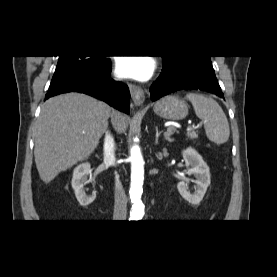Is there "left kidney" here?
<instances>
[{"label":"left kidney","instance_id":"5707ae66","mask_svg":"<svg viewBox=\"0 0 277 277\" xmlns=\"http://www.w3.org/2000/svg\"><path fill=\"white\" fill-rule=\"evenodd\" d=\"M182 155L185 160L188 173L190 175H194L196 178V180H193L196 187L195 191L191 193L187 182L181 181L177 184V189L185 200L193 205H197L203 199L206 190L211 183L210 169L195 149L189 147L182 151Z\"/></svg>","mask_w":277,"mask_h":277}]
</instances>
